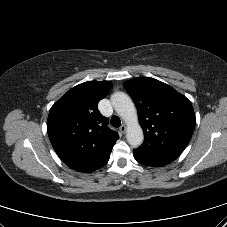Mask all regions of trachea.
<instances>
[{"label": "trachea", "instance_id": "1", "mask_svg": "<svg viewBox=\"0 0 227 227\" xmlns=\"http://www.w3.org/2000/svg\"><path fill=\"white\" fill-rule=\"evenodd\" d=\"M110 122H111V125L116 128L121 126V121H120L119 117L116 115L112 116Z\"/></svg>", "mask_w": 227, "mask_h": 227}]
</instances>
